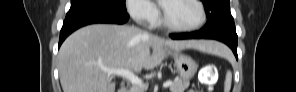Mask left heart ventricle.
<instances>
[{
  "label": "left heart ventricle",
  "instance_id": "b2bd125f",
  "mask_svg": "<svg viewBox=\"0 0 296 92\" xmlns=\"http://www.w3.org/2000/svg\"><path fill=\"white\" fill-rule=\"evenodd\" d=\"M165 10L168 20L179 27H191L198 23L200 12L191 1H167Z\"/></svg>",
  "mask_w": 296,
  "mask_h": 92
}]
</instances>
